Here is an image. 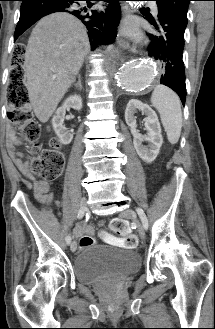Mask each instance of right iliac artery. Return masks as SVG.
I'll list each match as a JSON object with an SVG mask.
<instances>
[{
  "label": "right iliac artery",
  "instance_id": "1",
  "mask_svg": "<svg viewBox=\"0 0 215 329\" xmlns=\"http://www.w3.org/2000/svg\"><path fill=\"white\" fill-rule=\"evenodd\" d=\"M83 215H84V210L80 209L78 211L77 218L80 219V218L83 217ZM65 240H66V243L67 244H70L71 243V237H70V235H68Z\"/></svg>",
  "mask_w": 215,
  "mask_h": 329
}]
</instances>
